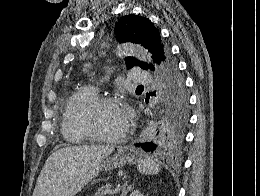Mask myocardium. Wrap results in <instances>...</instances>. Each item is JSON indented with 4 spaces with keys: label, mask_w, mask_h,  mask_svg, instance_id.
<instances>
[{
    "label": "myocardium",
    "mask_w": 260,
    "mask_h": 196,
    "mask_svg": "<svg viewBox=\"0 0 260 196\" xmlns=\"http://www.w3.org/2000/svg\"><path fill=\"white\" fill-rule=\"evenodd\" d=\"M119 104L125 107V102L116 96H100L95 98L85 109L84 117L79 121V126L87 132L91 138L103 142H121L131 129V124L127 122L126 127L117 135L101 133L94 127V117L99 109L106 105Z\"/></svg>",
    "instance_id": "f54148a6"
}]
</instances>
